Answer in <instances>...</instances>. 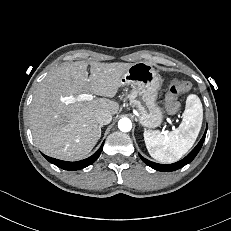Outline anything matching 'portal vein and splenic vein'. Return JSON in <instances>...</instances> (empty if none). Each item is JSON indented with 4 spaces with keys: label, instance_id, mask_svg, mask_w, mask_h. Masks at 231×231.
<instances>
[{
    "label": "portal vein and splenic vein",
    "instance_id": "1",
    "mask_svg": "<svg viewBox=\"0 0 231 231\" xmlns=\"http://www.w3.org/2000/svg\"><path fill=\"white\" fill-rule=\"evenodd\" d=\"M93 98L94 97L92 94H80L76 98H71V100L81 102V101H91Z\"/></svg>",
    "mask_w": 231,
    "mask_h": 231
}]
</instances>
